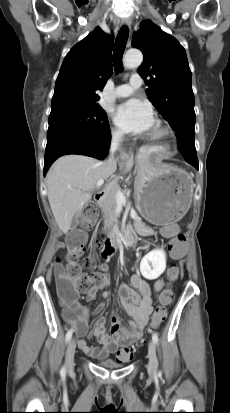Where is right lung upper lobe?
I'll list each match as a JSON object with an SVG mask.
<instances>
[{"mask_svg":"<svg viewBox=\"0 0 230 413\" xmlns=\"http://www.w3.org/2000/svg\"><path fill=\"white\" fill-rule=\"evenodd\" d=\"M114 38L99 27L77 43L66 55L56 80L51 109L94 107L112 74Z\"/></svg>","mask_w":230,"mask_h":413,"instance_id":"obj_1","label":"right lung upper lobe"}]
</instances>
